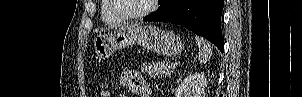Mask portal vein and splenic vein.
<instances>
[{"mask_svg":"<svg viewBox=\"0 0 302 97\" xmlns=\"http://www.w3.org/2000/svg\"><path fill=\"white\" fill-rule=\"evenodd\" d=\"M176 66H177V64H176V63H173V64L171 65V68H172V69H175Z\"/></svg>","mask_w":302,"mask_h":97,"instance_id":"1","label":"portal vein and splenic vein"}]
</instances>
